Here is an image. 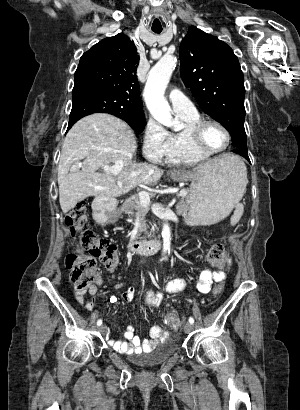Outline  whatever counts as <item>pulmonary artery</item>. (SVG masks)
Returning <instances> with one entry per match:
<instances>
[{"label":"pulmonary artery","instance_id":"obj_1","mask_svg":"<svg viewBox=\"0 0 300 410\" xmlns=\"http://www.w3.org/2000/svg\"><path fill=\"white\" fill-rule=\"evenodd\" d=\"M168 99L175 112L193 113L196 111L193 102L178 90H171L168 93Z\"/></svg>","mask_w":300,"mask_h":410}]
</instances>
